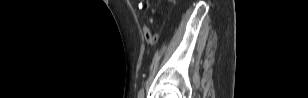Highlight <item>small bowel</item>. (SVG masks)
<instances>
[{"label":"small bowel","instance_id":"c3829d8e","mask_svg":"<svg viewBox=\"0 0 308 98\" xmlns=\"http://www.w3.org/2000/svg\"><path fill=\"white\" fill-rule=\"evenodd\" d=\"M143 32H144V35L146 36L147 34L151 33L150 29L148 26H143Z\"/></svg>","mask_w":308,"mask_h":98}]
</instances>
